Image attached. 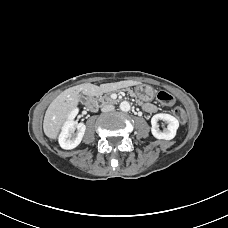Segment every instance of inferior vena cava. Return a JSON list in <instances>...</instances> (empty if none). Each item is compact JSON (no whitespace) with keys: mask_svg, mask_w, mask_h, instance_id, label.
Masks as SVG:
<instances>
[{"mask_svg":"<svg viewBox=\"0 0 228 228\" xmlns=\"http://www.w3.org/2000/svg\"><path fill=\"white\" fill-rule=\"evenodd\" d=\"M114 108H115V107H114L113 105H111V104H106V105L102 106L101 111H102V112H109V111L114 110Z\"/></svg>","mask_w":228,"mask_h":228,"instance_id":"602c4592","label":"inferior vena cava"}]
</instances>
